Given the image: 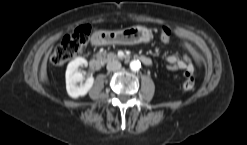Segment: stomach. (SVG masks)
Returning a JSON list of instances; mask_svg holds the SVG:
<instances>
[{"label": "stomach", "instance_id": "1", "mask_svg": "<svg viewBox=\"0 0 247 145\" xmlns=\"http://www.w3.org/2000/svg\"><path fill=\"white\" fill-rule=\"evenodd\" d=\"M105 39L104 44H124L133 45L137 43H147L152 38V32L143 26H131L117 31H100Z\"/></svg>", "mask_w": 247, "mask_h": 145}]
</instances>
